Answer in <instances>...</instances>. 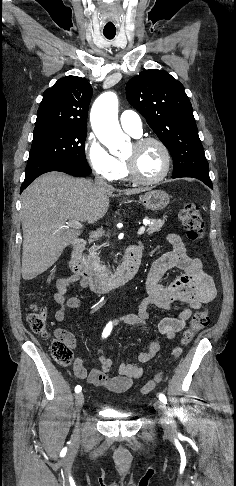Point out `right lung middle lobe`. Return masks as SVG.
Returning a JSON list of instances; mask_svg holds the SVG:
<instances>
[{
	"label": "right lung middle lobe",
	"mask_w": 236,
	"mask_h": 486,
	"mask_svg": "<svg viewBox=\"0 0 236 486\" xmlns=\"http://www.w3.org/2000/svg\"><path fill=\"white\" fill-rule=\"evenodd\" d=\"M86 135V129L35 128L28 163L52 160L88 165L84 147Z\"/></svg>",
	"instance_id": "dd1d6c3e"
}]
</instances>
